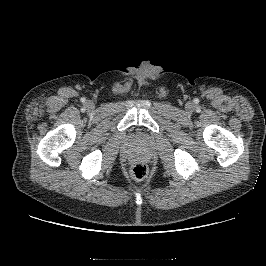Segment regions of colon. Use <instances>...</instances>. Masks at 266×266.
<instances>
[{"mask_svg": "<svg viewBox=\"0 0 266 266\" xmlns=\"http://www.w3.org/2000/svg\"><path fill=\"white\" fill-rule=\"evenodd\" d=\"M130 175L134 180L141 181L148 175V167L144 163H135L130 168Z\"/></svg>", "mask_w": 266, "mask_h": 266, "instance_id": "5ec220e1", "label": "colon"}]
</instances>
